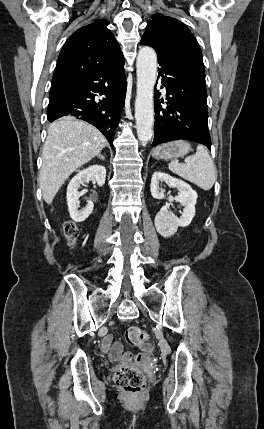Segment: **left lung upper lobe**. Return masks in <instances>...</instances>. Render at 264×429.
Wrapping results in <instances>:
<instances>
[{"label":"left lung upper lobe","mask_w":264,"mask_h":429,"mask_svg":"<svg viewBox=\"0 0 264 429\" xmlns=\"http://www.w3.org/2000/svg\"><path fill=\"white\" fill-rule=\"evenodd\" d=\"M142 38L182 61L196 76L205 81L201 49L194 35L182 22L161 14L153 15L148 20Z\"/></svg>","instance_id":"5c2ea615"}]
</instances>
